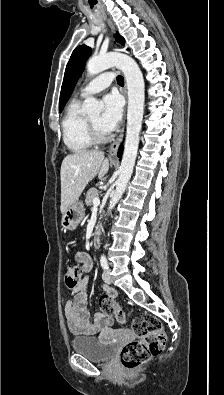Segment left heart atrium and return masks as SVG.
Here are the masks:
<instances>
[{"mask_svg": "<svg viewBox=\"0 0 224 395\" xmlns=\"http://www.w3.org/2000/svg\"><path fill=\"white\" fill-rule=\"evenodd\" d=\"M123 102L117 93H109L103 98V112L100 116V126L106 132L113 131L121 120Z\"/></svg>", "mask_w": 224, "mask_h": 395, "instance_id": "left-heart-atrium-1", "label": "left heart atrium"}]
</instances>
